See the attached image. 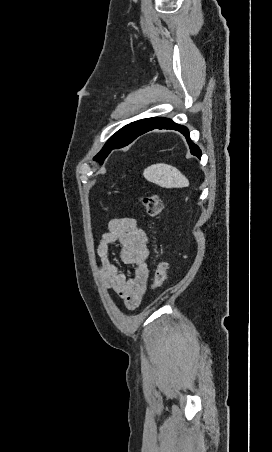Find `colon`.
I'll use <instances>...</instances> for the list:
<instances>
[{"label":"colon","mask_w":272,"mask_h":452,"mask_svg":"<svg viewBox=\"0 0 272 452\" xmlns=\"http://www.w3.org/2000/svg\"><path fill=\"white\" fill-rule=\"evenodd\" d=\"M141 203L144 207L145 212L151 217H157L162 212L163 203L158 195L143 196L141 198ZM167 272L168 263L165 261L159 262L154 273V280L152 284L153 290H158L159 288H161L167 278Z\"/></svg>","instance_id":"obj_1"}]
</instances>
